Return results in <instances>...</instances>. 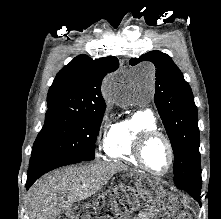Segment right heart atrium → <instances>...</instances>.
<instances>
[{
    "label": "right heart atrium",
    "instance_id": "1",
    "mask_svg": "<svg viewBox=\"0 0 221 219\" xmlns=\"http://www.w3.org/2000/svg\"><path fill=\"white\" fill-rule=\"evenodd\" d=\"M109 127V123L107 122V120L105 119L104 122H103V125L100 129V133H99V139L105 144V141H106V132H107V129ZM108 134V133H107Z\"/></svg>",
    "mask_w": 221,
    "mask_h": 219
}]
</instances>
